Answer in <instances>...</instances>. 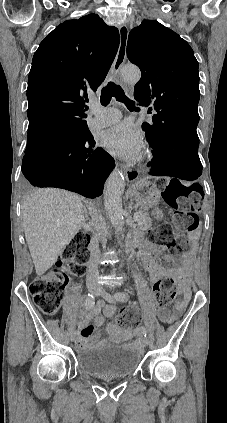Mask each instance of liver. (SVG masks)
Masks as SVG:
<instances>
[{
	"mask_svg": "<svg viewBox=\"0 0 227 423\" xmlns=\"http://www.w3.org/2000/svg\"><path fill=\"white\" fill-rule=\"evenodd\" d=\"M82 198L77 194L44 188L23 200V227L37 275L57 261L59 253L85 225Z\"/></svg>",
	"mask_w": 227,
	"mask_h": 423,
	"instance_id": "1",
	"label": "liver"
}]
</instances>
